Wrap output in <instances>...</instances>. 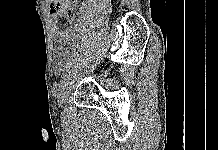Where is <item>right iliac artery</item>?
I'll return each mask as SVG.
<instances>
[{
    "label": "right iliac artery",
    "mask_w": 218,
    "mask_h": 150,
    "mask_svg": "<svg viewBox=\"0 0 218 150\" xmlns=\"http://www.w3.org/2000/svg\"><path fill=\"white\" fill-rule=\"evenodd\" d=\"M73 61H74V59H70L69 61H68V63H67V68H70L71 66H72V64H73Z\"/></svg>",
    "instance_id": "obj_1"
}]
</instances>
